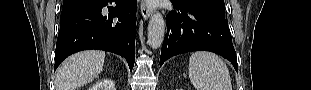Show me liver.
Segmentation results:
<instances>
[{"instance_id": "liver-1", "label": "liver", "mask_w": 311, "mask_h": 90, "mask_svg": "<svg viewBox=\"0 0 311 90\" xmlns=\"http://www.w3.org/2000/svg\"><path fill=\"white\" fill-rule=\"evenodd\" d=\"M105 52L88 50L68 57L58 68L56 90H76L97 77L103 70Z\"/></svg>"}]
</instances>
